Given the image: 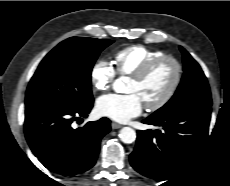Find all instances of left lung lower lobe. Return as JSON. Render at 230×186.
I'll return each instance as SVG.
<instances>
[{"mask_svg":"<svg viewBox=\"0 0 230 186\" xmlns=\"http://www.w3.org/2000/svg\"><path fill=\"white\" fill-rule=\"evenodd\" d=\"M211 108H191L165 116H149L145 124L163 127L137 131V143L130 155L132 167L144 176L168 180L182 169L204 145Z\"/></svg>","mask_w":230,"mask_h":186,"instance_id":"obj_1","label":"left lung lower lobe"}]
</instances>
